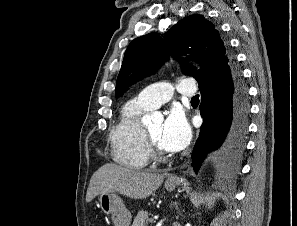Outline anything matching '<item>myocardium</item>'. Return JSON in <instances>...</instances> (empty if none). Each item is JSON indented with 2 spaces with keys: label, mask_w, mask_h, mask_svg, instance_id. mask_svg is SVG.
I'll use <instances>...</instances> for the list:
<instances>
[{
  "label": "myocardium",
  "mask_w": 297,
  "mask_h": 226,
  "mask_svg": "<svg viewBox=\"0 0 297 226\" xmlns=\"http://www.w3.org/2000/svg\"><path fill=\"white\" fill-rule=\"evenodd\" d=\"M144 138L154 160L158 162H163L167 159V156L160 150L156 142L150 136L148 129L144 128Z\"/></svg>",
  "instance_id": "f54148a6"
}]
</instances>
